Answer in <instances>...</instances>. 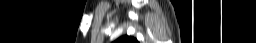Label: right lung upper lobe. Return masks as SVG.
<instances>
[{
    "mask_svg": "<svg viewBox=\"0 0 256 43\" xmlns=\"http://www.w3.org/2000/svg\"><path fill=\"white\" fill-rule=\"evenodd\" d=\"M114 43H138V41L129 36H123L116 40Z\"/></svg>",
    "mask_w": 256,
    "mask_h": 43,
    "instance_id": "1",
    "label": "right lung upper lobe"
}]
</instances>
